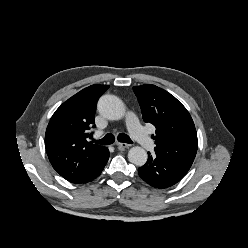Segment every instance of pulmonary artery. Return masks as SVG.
I'll return each instance as SVG.
<instances>
[{"label":"pulmonary artery","mask_w":248,"mask_h":248,"mask_svg":"<svg viewBox=\"0 0 248 248\" xmlns=\"http://www.w3.org/2000/svg\"><path fill=\"white\" fill-rule=\"evenodd\" d=\"M126 124L132 137L145 149L152 150L154 143L152 139L145 133L143 128L139 125L136 116L133 113H128L126 117Z\"/></svg>","instance_id":"1"}]
</instances>
